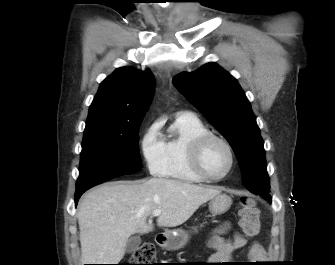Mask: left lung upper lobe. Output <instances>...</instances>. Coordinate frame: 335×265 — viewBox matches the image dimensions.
Segmentation results:
<instances>
[{
	"label": "left lung upper lobe",
	"instance_id": "5c2ea615",
	"mask_svg": "<svg viewBox=\"0 0 335 265\" xmlns=\"http://www.w3.org/2000/svg\"><path fill=\"white\" fill-rule=\"evenodd\" d=\"M172 82L229 142L239 161L244 186L271 201L264 142L236 79L211 62L195 72L176 75Z\"/></svg>",
	"mask_w": 335,
	"mask_h": 265
}]
</instances>
